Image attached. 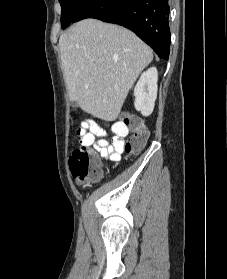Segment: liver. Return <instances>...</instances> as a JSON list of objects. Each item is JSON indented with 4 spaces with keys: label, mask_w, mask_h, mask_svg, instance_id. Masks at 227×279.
I'll use <instances>...</instances> for the list:
<instances>
[{
    "label": "liver",
    "mask_w": 227,
    "mask_h": 279,
    "mask_svg": "<svg viewBox=\"0 0 227 279\" xmlns=\"http://www.w3.org/2000/svg\"><path fill=\"white\" fill-rule=\"evenodd\" d=\"M63 74L71 101L105 121L118 118L122 105L153 53L132 31L84 19L59 39Z\"/></svg>",
    "instance_id": "1"
}]
</instances>
